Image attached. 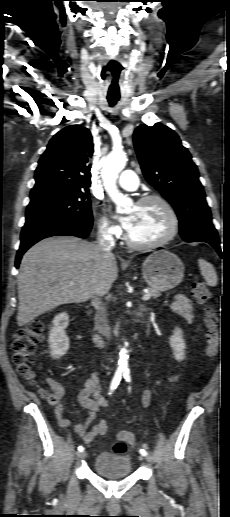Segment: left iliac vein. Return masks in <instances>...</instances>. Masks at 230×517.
Instances as JSON below:
<instances>
[{"instance_id":"4c4485c4","label":"left iliac vein","mask_w":230,"mask_h":517,"mask_svg":"<svg viewBox=\"0 0 230 517\" xmlns=\"http://www.w3.org/2000/svg\"><path fill=\"white\" fill-rule=\"evenodd\" d=\"M145 459H146L148 462H152V461H153V458H152L150 455H146V456H145Z\"/></svg>"}]
</instances>
